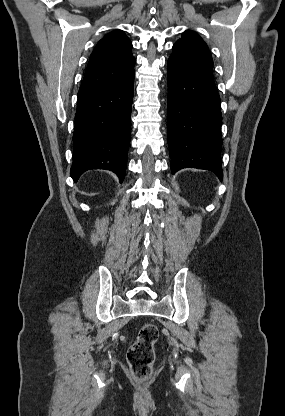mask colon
<instances>
[{
	"label": "colon",
	"mask_w": 285,
	"mask_h": 416,
	"mask_svg": "<svg viewBox=\"0 0 285 416\" xmlns=\"http://www.w3.org/2000/svg\"><path fill=\"white\" fill-rule=\"evenodd\" d=\"M157 339V327L154 324L145 323L139 329L135 342L127 352V361L132 375L138 381H147L152 376L154 347Z\"/></svg>",
	"instance_id": "1"
}]
</instances>
